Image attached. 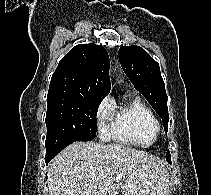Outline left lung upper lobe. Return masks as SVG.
I'll use <instances>...</instances> for the list:
<instances>
[{
    "instance_id": "left-lung-upper-lobe-1",
    "label": "left lung upper lobe",
    "mask_w": 211,
    "mask_h": 195,
    "mask_svg": "<svg viewBox=\"0 0 211 195\" xmlns=\"http://www.w3.org/2000/svg\"><path fill=\"white\" fill-rule=\"evenodd\" d=\"M120 64L134 85L162 118L165 132L168 131V107L165 84L159 64L139 46H121L118 52ZM166 160L171 163L170 152Z\"/></svg>"
}]
</instances>
